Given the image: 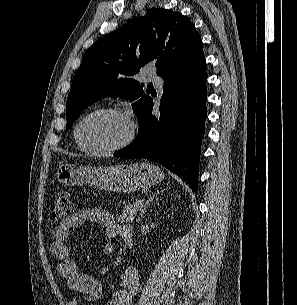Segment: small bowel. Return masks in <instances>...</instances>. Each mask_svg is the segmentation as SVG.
<instances>
[{
	"instance_id": "obj_1",
	"label": "small bowel",
	"mask_w": 297,
	"mask_h": 305,
	"mask_svg": "<svg viewBox=\"0 0 297 305\" xmlns=\"http://www.w3.org/2000/svg\"><path fill=\"white\" fill-rule=\"evenodd\" d=\"M85 222H93L105 229L107 237H121L126 229L132 226L118 223L111 212L105 208H85L72 216L62 220L52 229V240L50 251L57 260V273L64 279L68 290L78 294L87 300L101 299L105 293L104 288L92 275L79 273L77 265L70 255V251L65 244L69 231ZM114 246L108 243L104 246V253L111 255ZM140 285V277L136 268L127 267L120 278L117 286L109 288L110 298L107 305H131L133 296L137 293ZM77 300H71L69 305H78Z\"/></svg>"
}]
</instances>
